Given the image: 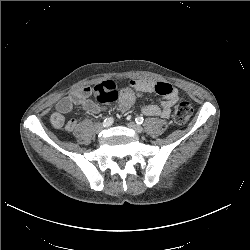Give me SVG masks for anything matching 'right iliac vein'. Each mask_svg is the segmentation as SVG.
<instances>
[{
    "label": "right iliac vein",
    "mask_w": 250,
    "mask_h": 250,
    "mask_svg": "<svg viewBox=\"0 0 250 250\" xmlns=\"http://www.w3.org/2000/svg\"><path fill=\"white\" fill-rule=\"evenodd\" d=\"M103 128H104V125H103V124L97 123V124L94 126V131H95L96 133H100V132L103 130Z\"/></svg>",
    "instance_id": "63e3f726"
}]
</instances>
